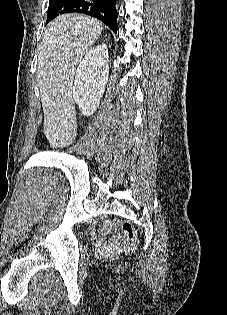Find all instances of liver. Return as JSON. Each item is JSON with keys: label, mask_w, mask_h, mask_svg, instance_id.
I'll return each instance as SVG.
<instances>
[{"label": "liver", "mask_w": 227, "mask_h": 315, "mask_svg": "<svg viewBox=\"0 0 227 315\" xmlns=\"http://www.w3.org/2000/svg\"><path fill=\"white\" fill-rule=\"evenodd\" d=\"M103 25L77 13L58 16L45 28L38 55V86L44 134L54 148L70 145L77 135L72 95L74 76L84 54L97 41Z\"/></svg>", "instance_id": "liver-1"}]
</instances>
